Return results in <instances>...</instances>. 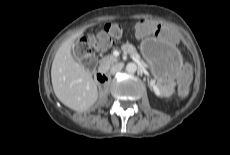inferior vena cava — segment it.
<instances>
[{"mask_svg": "<svg viewBox=\"0 0 230 155\" xmlns=\"http://www.w3.org/2000/svg\"><path fill=\"white\" fill-rule=\"evenodd\" d=\"M123 66H124L123 63H118V64L113 65L110 69V74L114 75L117 72L121 71Z\"/></svg>", "mask_w": 230, "mask_h": 155, "instance_id": "1", "label": "inferior vena cava"}]
</instances>
